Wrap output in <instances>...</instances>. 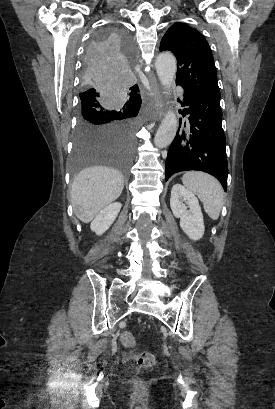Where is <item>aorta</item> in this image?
<instances>
[{"label":"aorta","mask_w":275,"mask_h":409,"mask_svg":"<svg viewBox=\"0 0 275 409\" xmlns=\"http://www.w3.org/2000/svg\"><path fill=\"white\" fill-rule=\"evenodd\" d=\"M155 68L158 78L170 90L176 74V58L172 52H160L156 56ZM178 128L177 116L174 110H167L164 118L154 136V144L158 148H165L171 144Z\"/></svg>","instance_id":"obj_1"}]
</instances>
